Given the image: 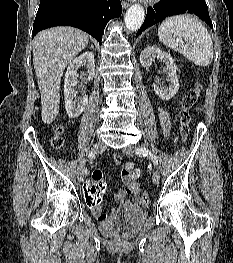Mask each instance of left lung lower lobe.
I'll use <instances>...</instances> for the list:
<instances>
[{
	"instance_id": "1",
	"label": "left lung lower lobe",
	"mask_w": 233,
	"mask_h": 263,
	"mask_svg": "<svg viewBox=\"0 0 233 263\" xmlns=\"http://www.w3.org/2000/svg\"><path fill=\"white\" fill-rule=\"evenodd\" d=\"M181 13H193L213 28L205 0H162L154 8L147 10L145 21L136 36L166 17Z\"/></svg>"
}]
</instances>
